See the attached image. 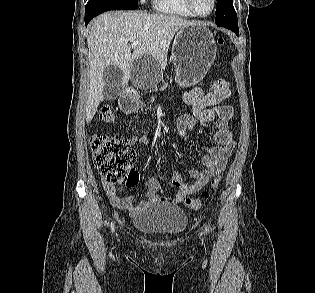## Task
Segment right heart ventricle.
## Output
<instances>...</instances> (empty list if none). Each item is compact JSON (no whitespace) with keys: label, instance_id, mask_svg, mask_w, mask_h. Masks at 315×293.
<instances>
[{"label":"right heart ventricle","instance_id":"1","mask_svg":"<svg viewBox=\"0 0 315 293\" xmlns=\"http://www.w3.org/2000/svg\"><path fill=\"white\" fill-rule=\"evenodd\" d=\"M155 8L164 14L180 18H193L186 0H155Z\"/></svg>","mask_w":315,"mask_h":293}]
</instances>
